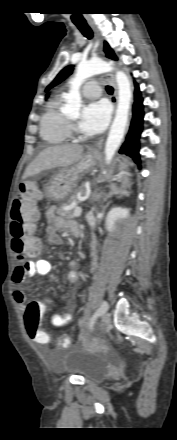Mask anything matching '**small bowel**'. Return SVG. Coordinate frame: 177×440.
Segmentation results:
<instances>
[{
	"label": "small bowel",
	"instance_id": "c3829d8e",
	"mask_svg": "<svg viewBox=\"0 0 177 440\" xmlns=\"http://www.w3.org/2000/svg\"><path fill=\"white\" fill-rule=\"evenodd\" d=\"M45 218L48 221V225L45 227V236L48 244L50 245H61L63 243V239L58 233L59 230H72L73 227L77 226L75 222L67 220L64 217L57 216L55 206H50L49 208H47V210L45 211ZM37 242L39 245V252L41 246L40 242ZM76 266V261L69 262L70 271L68 272L67 278L72 284L77 283L79 279L78 272L76 271ZM51 268V263L46 259L25 261L16 266L12 273V284L15 287L13 298L22 311L25 309L27 297L25 292L20 289V286L27 278L35 277L37 275H46L50 273ZM71 320L72 313L68 311L63 314L54 315L52 317V324L54 326H63L68 324Z\"/></svg>",
	"mask_w": 177,
	"mask_h": 440
}]
</instances>
